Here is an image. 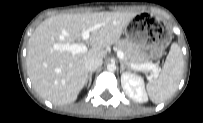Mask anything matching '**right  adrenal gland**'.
<instances>
[{
	"mask_svg": "<svg viewBox=\"0 0 203 123\" xmlns=\"http://www.w3.org/2000/svg\"><path fill=\"white\" fill-rule=\"evenodd\" d=\"M92 75H93V72H90L89 75H88V87H90L91 83H92Z\"/></svg>",
	"mask_w": 203,
	"mask_h": 123,
	"instance_id": "right-adrenal-gland-1",
	"label": "right adrenal gland"
}]
</instances>
